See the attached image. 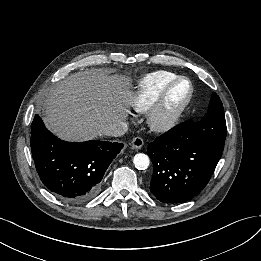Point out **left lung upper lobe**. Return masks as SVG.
I'll return each instance as SVG.
<instances>
[{"label":"left lung upper lobe","mask_w":261,"mask_h":261,"mask_svg":"<svg viewBox=\"0 0 261 261\" xmlns=\"http://www.w3.org/2000/svg\"><path fill=\"white\" fill-rule=\"evenodd\" d=\"M199 124L201 141L223 151L227 129L223 105L216 93H213L208 112Z\"/></svg>","instance_id":"5c2ea615"}]
</instances>
